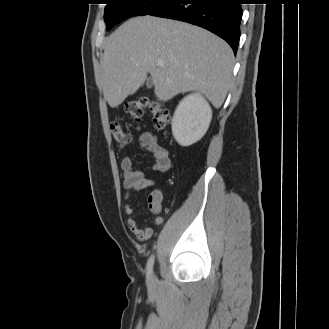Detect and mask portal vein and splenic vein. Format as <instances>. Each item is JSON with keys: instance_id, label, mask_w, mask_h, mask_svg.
I'll list each match as a JSON object with an SVG mask.
<instances>
[{"instance_id": "18ae733b", "label": "portal vein and splenic vein", "mask_w": 329, "mask_h": 329, "mask_svg": "<svg viewBox=\"0 0 329 329\" xmlns=\"http://www.w3.org/2000/svg\"><path fill=\"white\" fill-rule=\"evenodd\" d=\"M163 65H164V64H163V61H158V62H157V66H158V67H163Z\"/></svg>"}]
</instances>
